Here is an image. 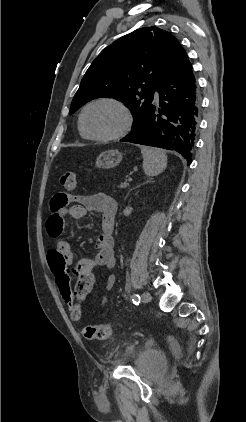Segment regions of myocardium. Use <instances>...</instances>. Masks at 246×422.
Instances as JSON below:
<instances>
[{"instance_id":"f54148a6","label":"myocardium","mask_w":246,"mask_h":422,"mask_svg":"<svg viewBox=\"0 0 246 422\" xmlns=\"http://www.w3.org/2000/svg\"><path fill=\"white\" fill-rule=\"evenodd\" d=\"M100 103H110V104L115 105L121 110L124 117V122H123L122 127L116 133L106 135V136H100V135H94L87 130L85 126V114L90 107L96 104H100ZM132 124H133V116L129 107L124 102L114 97H101V98H97L90 101L83 107L79 116V127L82 133L85 135V137L94 141H99V142H110V141H114V140L124 137L130 131Z\"/></svg>"}]
</instances>
